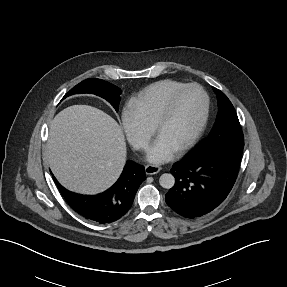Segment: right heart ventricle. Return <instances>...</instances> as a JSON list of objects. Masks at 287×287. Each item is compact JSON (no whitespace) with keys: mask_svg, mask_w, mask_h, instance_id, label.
<instances>
[{"mask_svg":"<svg viewBox=\"0 0 287 287\" xmlns=\"http://www.w3.org/2000/svg\"><path fill=\"white\" fill-rule=\"evenodd\" d=\"M185 84L172 79L155 82L133 97L128 103V110L149 128L153 126L169 96Z\"/></svg>","mask_w":287,"mask_h":287,"instance_id":"obj_1","label":"right heart ventricle"}]
</instances>
